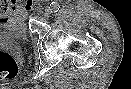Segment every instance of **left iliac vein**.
I'll list each match as a JSON object with an SVG mask.
<instances>
[{
  "mask_svg": "<svg viewBox=\"0 0 131 89\" xmlns=\"http://www.w3.org/2000/svg\"><path fill=\"white\" fill-rule=\"evenodd\" d=\"M51 13H52L51 8H50V7H47V8L45 9V11H44V16L48 18V17L51 15Z\"/></svg>",
  "mask_w": 131,
  "mask_h": 89,
  "instance_id": "obj_1",
  "label": "left iliac vein"
}]
</instances>
